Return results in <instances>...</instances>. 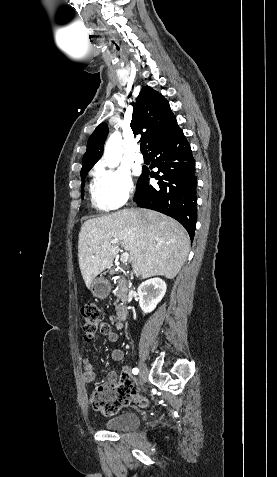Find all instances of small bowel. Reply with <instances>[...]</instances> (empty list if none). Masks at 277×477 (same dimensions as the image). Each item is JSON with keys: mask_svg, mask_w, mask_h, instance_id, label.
<instances>
[{"mask_svg": "<svg viewBox=\"0 0 277 477\" xmlns=\"http://www.w3.org/2000/svg\"><path fill=\"white\" fill-rule=\"evenodd\" d=\"M110 320V323L116 328V329H121L123 327V324L121 321H119L116 317L114 316H111L109 318ZM100 331L105 334L108 338V340L111 342V343H118L119 341V337L118 335L112 331L111 329V326L107 323H101L100 325ZM111 358L113 361H121L123 358H124V352L117 348V349H114L112 350L111 352ZM82 363H83V368H84V372H83V381L85 383H91L93 382L95 379H96V371H95V368L91 362V359L89 357H84L82 359ZM119 380V376L117 373L115 372H110L108 374V382H112V383H117ZM122 380H131L133 381L130 376H129V369L127 367L123 368V371H122V375H121V378H120V381ZM134 382V381H133ZM135 384V382H134ZM136 385V384H135Z\"/></svg>", "mask_w": 277, "mask_h": 477, "instance_id": "obj_1", "label": "small bowel"}]
</instances>
